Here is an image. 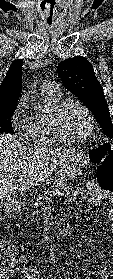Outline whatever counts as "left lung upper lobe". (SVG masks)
Wrapping results in <instances>:
<instances>
[{
  "label": "left lung upper lobe",
  "mask_w": 113,
  "mask_h": 279,
  "mask_svg": "<svg viewBox=\"0 0 113 279\" xmlns=\"http://www.w3.org/2000/svg\"><path fill=\"white\" fill-rule=\"evenodd\" d=\"M64 85L93 113L106 136L113 138V123L103 89L92 64L82 56L66 59L57 66Z\"/></svg>",
  "instance_id": "obj_1"
}]
</instances>
